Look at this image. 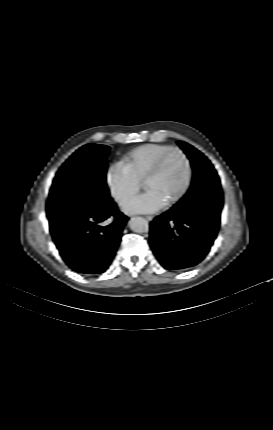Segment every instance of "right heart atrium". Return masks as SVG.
Segmentation results:
<instances>
[{
  "instance_id": "obj_1",
  "label": "right heart atrium",
  "mask_w": 273,
  "mask_h": 430,
  "mask_svg": "<svg viewBox=\"0 0 273 430\" xmlns=\"http://www.w3.org/2000/svg\"><path fill=\"white\" fill-rule=\"evenodd\" d=\"M105 181L111 196L121 206L133 198L141 187V182L120 162L109 165Z\"/></svg>"
}]
</instances>
